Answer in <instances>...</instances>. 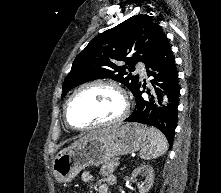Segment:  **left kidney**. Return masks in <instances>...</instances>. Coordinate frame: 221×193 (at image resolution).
<instances>
[{"instance_id":"1","label":"left kidney","mask_w":221,"mask_h":193,"mask_svg":"<svg viewBox=\"0 0 221 193\" xmlns=\"http://www.w3.org/2000/svg\"><path fill=\"white\" fill-rule=\"evenodd\" d=\"M142 174L146 178V182L137 184L140 193H147L154 183V170L150 165H141L135 168L132 172V178L136 182V177Z\"/></svg>"}]
</instances>
